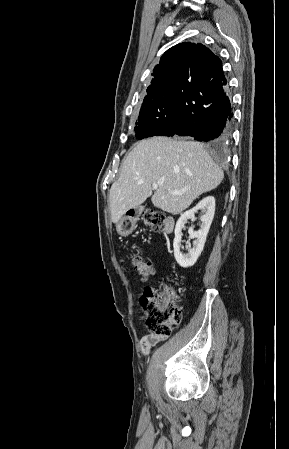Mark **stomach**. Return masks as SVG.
I'll list each match as a JSON object with an SVG mask.
<instances>
[{
	"label": "stomach",
	"mask_w": 289,
	"mask_h": 449,
	"mask_svg": "<svg viewBox=\"0 0 289 449\" xmlns=\"http://www.w3.org/2000/svg\"><path fill=\"white\" fill-rule=\"evenodd\" d=\"M136 220V217L127 216L120 219V221L116 224V230L118 234L121 236H128L129 234H131L135 228Z\"/></svg>",
	"instance_id": "obj_1"
}]
</instances>
